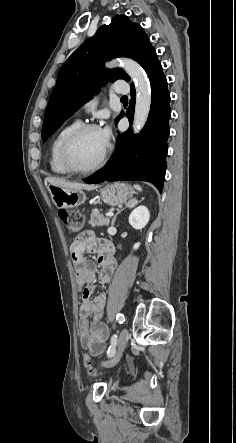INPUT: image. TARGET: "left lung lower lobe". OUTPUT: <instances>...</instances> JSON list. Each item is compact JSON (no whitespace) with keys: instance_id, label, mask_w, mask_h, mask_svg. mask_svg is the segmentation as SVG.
<instances>
[{"instance_id":"1","label":"left lung lower lobe","mask_w":236,"mask_h":443,"mask_svg":"<svg viewBox=\"0 0 236 443\" xmlns=\"http://www.w3.org/2000/svg\"><path fill=\"white\" fill-rule=\"evenodd\" d=\"M148 73L152 88L151 109L143 130L133 135L129 129L118 134L115 152L108 165L85 179L86 183L107 181H147L159 191L163 188L166 170L167 139L169 136L170 95L167 80L154 48L149 52L143 66ZM130 106L126 117L131 122L134 115L135 87L131 85ZM124 116L122 113L116 123Z\"/></svg>"}]
</instances>
